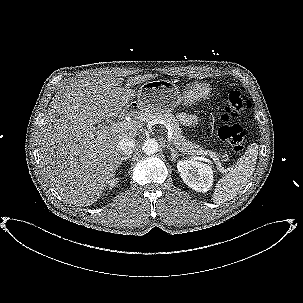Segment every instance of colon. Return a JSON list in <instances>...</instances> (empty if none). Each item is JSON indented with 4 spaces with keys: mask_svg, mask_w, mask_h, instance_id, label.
Returning <instances> with one entry per match:
<instances>
[{
    "mask_svg": "<svg viewBox=\"0 0 303 303\" xmlns=\"http://www.w3.org/2000/svg\"><path fill=\"white\" fill-rule=\"evenodd\" d=\"M250 107V100L239 92L227 93L225 109L221 116L223 125L219 129V136L227 142L234 153H240L243 150L245 141V131L236 119Z\"/></svg>",
    "mask_w": 303,
    "mask_h": 303,
    "instance_id": "colon-1",
    "label": "colon"
}]
</instances>
